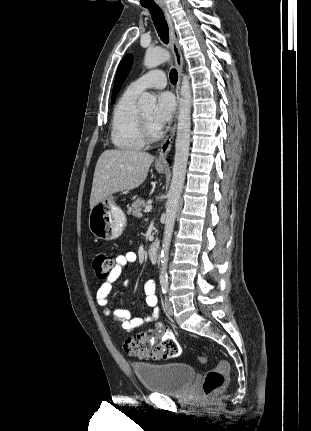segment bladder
Returning a JSON list of instances; mask_svg holds the SVG:
<instances>
[{
    "label": "bladder",
    "mask_w": 311,
    "mask_h": 431,
    "mask_svg": "<svg viewBox=\"0 0 311 431\" xmlns=\"http://www.w3.org/2000/svg\"><path fill=\"white\" fill-rule=\"evenodd\" d=\"M133 372L149 392L165 395L183 393L195 378L194 368L186 363H135Z\"/></svg>",
    "instance_id": "31cf9c89"
}]
</instances>
